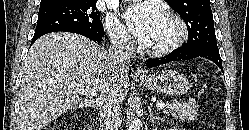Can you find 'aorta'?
<instances>
[{"label":"aorta","mask_w":249,"mask_h":130,"mask_svg":"<svg viewBox=\"0 0 249 130\" xmlns=\"http://www.w3.org/2000/svg\"><path fill=\"white\" fill-rule=\"evenodd\" d=\"M142 123L141 120L135 118L131 121L129 125V130H141Z\"/></svg>","instance_id":"obj_1"}]
</instances>
